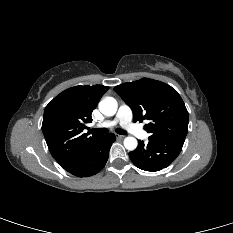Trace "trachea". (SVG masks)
I'll use <instances>...</instances> for the list:
<instances>
[{"label": "trachea", "mask_w": 233, "mask_h": 233, "mask_svg": "<svg viewBox=\"0 0 233 233\" xmlns=\"http://www.w3.org/2000/svg\"><path fill=\"white\" fill-rule=\"evenodd\" d=\"M116 133L120 134V135H126L127 132L121 128H117ZM92 133L94 134H106L108 133V129L107 128H101V129H92L91 130Z\"/></svg>", "instance_id": "trachea-1"}]
</instances>
